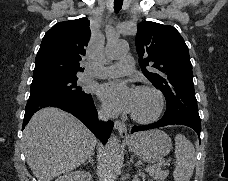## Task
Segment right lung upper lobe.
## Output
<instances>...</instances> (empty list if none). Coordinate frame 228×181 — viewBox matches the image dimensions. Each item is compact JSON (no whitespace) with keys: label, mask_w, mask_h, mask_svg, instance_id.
Returning <instances> with one entry per match:
<instances>
[{"label":"right lung upper lobe","mask_w":228,"mask_h":181,"mask_svg":"<svg viewBox=\"0 0 228 181\" xmlns=\"http://www.w3.org/2000/svg\"><path fill=\"white\" fill-rule=\"evenodd\" d=\"M87 18L63 21L48 30L35 59L33 79L82 72L80 62L90 39Z\"/></svg>","instance_id":"obj_1"}]
</instances>
